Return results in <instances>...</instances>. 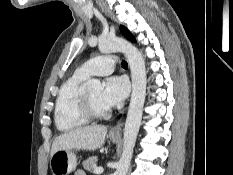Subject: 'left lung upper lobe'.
<instances>
[{
    "label": "left lung upper lobe",
    "mask_w": 233,
    "mask_h": 175,
    "mask_svg": "<svg viewBox=\"0 0 233 175\" xmlns=\"http://www.w3.org/2000/svg\"><path fill=\"white\" fill-rule=\"evenodd\" d=\"M120 30L122 32V34L130 41L135 42V38L133 37V35L129 32V30L124 27V26H120Z\"/></svg>",
    "instance_id": "5c2ea615"
}]
</instances>
